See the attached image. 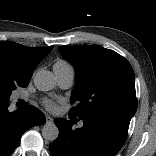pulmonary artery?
<instances>
[{"label":"pulmonary artery","mask_w":156,"mask_h":156,"mask_svg":"<svg viewBox=\"0 0 156 156\" xmlns=\"http://www.w3.org/2000/svg\"><path fill=\"white\" fill-rule=\"evenodd\" d=\"M54 74L56 76L57 82L61 88L67 89L72 86L74 81V69L71 65H59L57 63L53 66ZM22 99V96L18 97ZM81 125V124H80Z\"/></svg>","instance_id":"obj_1"}]
</instances>
